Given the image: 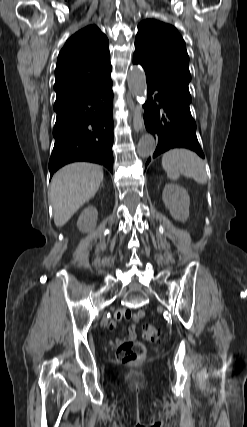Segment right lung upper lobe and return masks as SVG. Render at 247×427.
Instances as JSON below:
<instances>
[{"mask_svg":"<svg viewBox=\"0 0 247 427\" xmlns=\"http://www.w3.org/2000/svg\"><path fill=\"white\" fill-rule=\"evenodd\" d=\"M109 41L95 26H87L67 40L59 53L56 100L96 88L111 74Z\"/></svg>","mask_w":247,"mask_h":427,"instance_id":"obj_1","label":"right lung upper lobe"}]
</instances>
